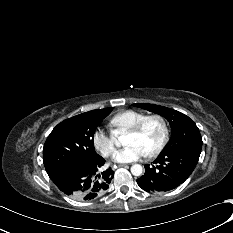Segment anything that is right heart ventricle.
Instances as JSON below:
<instances>
[{
    "instance_id": "right-heart-ventricle-1",
    "label": "right heart ventricle",
    "mask_w": 233,
    "mask_h": 233,
    "mask_svg": "<svg viewBox=\"0 0 233 233\" xmlns=\"http://www.w3.org/2000/svg\"><path fill=\"white\" fill-rule=\"evenodd\" d=\"M146 116L137 110H124L114 115L110 121L115 132L126 131Z\"/></svg>"
}]
</instances>
